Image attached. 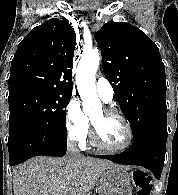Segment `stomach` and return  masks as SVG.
Masks as SVG:
<instances>
[{
    "label": "stomach",
    "mask_w": 178,
    "mask_h": 195,
    "mask_svg": "<svg viewBox=\"0 0 178 195\" xmlns=\"http://www.w3.org/2000/svg\"><path fill=\"white\" fill-rule=\"evenodd\" d=\"M133 176L127 168L113 166L106 169L100 179L99 195H133Z\"/></svg>",
    "instance_id": "0dacf381"
}]
</instances>
